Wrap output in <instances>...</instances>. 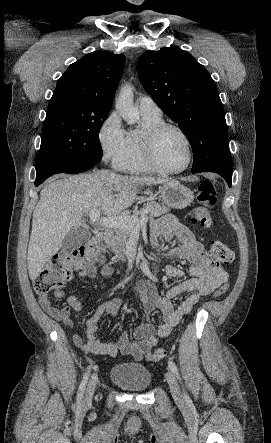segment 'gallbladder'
<instances>
[{
  "label": "gallbladder",
  "instance_id": "obj_1",
  "mask_svg": "<svg viewBox=\"0 0 271 443\" xmlns=\"http://www.w3.org/2000/svg\"><path fill=\"white\" fill-rule=\"evenodd\" d=\"M90 237V231H83V229H71L68 235H65L61 243L60 253L62 260H69L66 263L67 268H74L75 263L72 260L78 259V252L73 251V249L80 247V245H82L84 241H88Z\"/></svg>",
  "mask_w": 271,
  "mask_h": 443
}]
</instances>
